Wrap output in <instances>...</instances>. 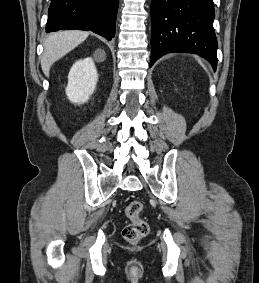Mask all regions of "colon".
Masks as SVG:
<instances>
[{"mask_svg": "<svg viewBox=\"0 0 259 283\" xmlns=\"http://www.w3.org/2000/svg\"><path fill=\"white\" fill-rule=\"evenodd\" d=\"M142 211L143 203L139 200L131 201L125 209L129 223L123 228L122 234L129 243L139 242L149 232L148 223L141 217Z\"/></svg>", "mask_w": 259, "mask_h": 283, "instance_id": "1", "label": "colon"}]
</instances>
